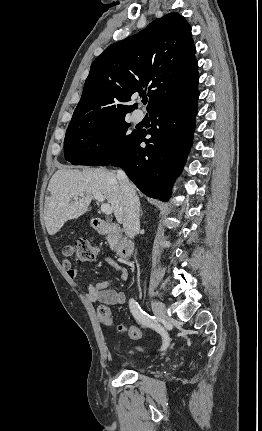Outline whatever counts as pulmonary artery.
<instances>
[{
	"label": "pulmonary artery",
	"instance_id": "obj_1",
	"mask_svg": "<svg viewBox=\"0 0 262 431\" xmlns=\"http://www.w3.org/2000/svg\"><path fill=\"white\" fill-rule=\"evenodd\" d=\"M143 118H144V113L142 111L137 110L133 113V120L135 122H140L143 120Z\"/></svg>",
	"mask_w": 262,
	"mask_h": 431
}]
</instances>
